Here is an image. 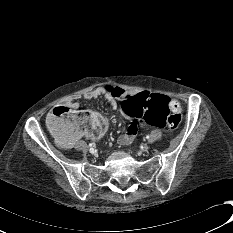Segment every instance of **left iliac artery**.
<instances>
[{"label":"left iliac artery","instance_id":"left-iliac-artery-1","mask_svg":"<svg viewBox=\"0 0 233 233\" xmlns=\"http://www.w3.org/2000/svg\"><path fill=\"white\" fill-rule=\"evenodd\" d=\"M149 138H150V136H149V135H147V136H146V139H149Z\"/></svg>","mask_w":233,"mask_h":233}]
</instances>
